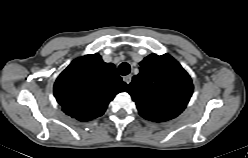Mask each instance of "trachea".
Wrapping results in <instances>:
<instances>
[{"mask_svg":"<svg viewBox=\"0 0 248 158\" xmlns=\"http://www.w3.org/2000/svg\"><path fill=\"white\" fill-rule=\"evenodd\" d=\"M118 72L120 75H123V76L128 75L130 73V65L126 62H123L118 67Z\"/></svg>","mask_w":248,"mask_h":158,"instance_id":"trachea-1","label":"trachea"}]
</instances>
